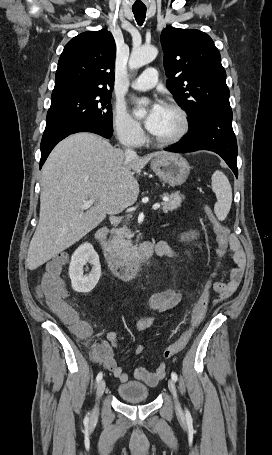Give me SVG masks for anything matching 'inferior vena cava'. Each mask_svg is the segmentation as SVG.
<instances>
[{"label": "inferior vena cava", "instance_id": "obj_1", "mask_svg": "<svg viewBox=\"0 0 272 455\" xmlns=\"http://www.w3.org/2000/svg\"><path fill=\"white\" fill-rule=\"evenodd\" d=\"M137 156L136 152L132 149H126L125 150V157L126 159H132Z\"/></svg>", "mask_w": 272, "mask_h": 455}]
</instances>
